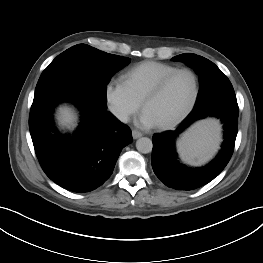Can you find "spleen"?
Masks as SVG:
<instances>
[{
  "label": "spleen",
  "mask_w": 263,
  "mask_h": 263,
  "mask_svg": "<svg viewBox=\"0 0 263 263\" xmlns=\"http://www.w3.org/2000/svg\"><path fill=\"white\" fill-rule=\"evenodd\" d=\"M220 141V125L216 120H202L193 125L179 141L181 157L192 164L208 160Z\"/></svg>",
  "instance_id": "spleen-1"
}]
</instances>
